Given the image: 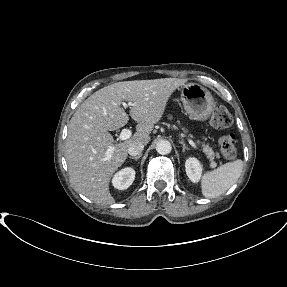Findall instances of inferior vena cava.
Segmentation results:
<instances>
[{"mask_svg":"<svg viewBox=\"0 0 287 287\" xmlns=\"http://www.w3.org/2000/svg\"><path fill=\"white\" fill-rule=\"evenodd\" d=\"M144 149V144L142 142H133L128 147V154L131 156H138L142 153Z\"/></svg>","mask_w":287,"mask_h":287,"instance_id":"602c4592","label":"inferior vena cava"}]
</instances>
